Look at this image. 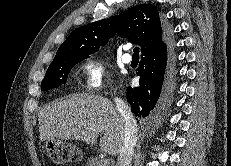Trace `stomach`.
<instances>
[{"mask_svg": "<svg viewBox=\"0 0 231 166\" xmlns=\"http://www.w3.org/2000/svg\"><path fill=\"white\" fill-rule=\"evenodd\" d=\"M45 148L51 159L58 164L78 162L83 157L79 147L61 139L46 141Z\"/></svg>", "mask_w": 231, "mask_h": 166, "instance_id": "0dacf381", "label": "stomach"}]
</instances>
